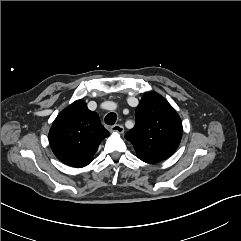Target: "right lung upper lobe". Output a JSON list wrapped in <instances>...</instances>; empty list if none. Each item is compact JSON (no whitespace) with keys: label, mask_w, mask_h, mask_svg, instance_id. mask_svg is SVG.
<instances>
[{"label":"right lung upper lobe","mask_w":241,"mask_h":241,"mask_svg":"<svg viewBox=\"0 0 241 241\" xmlns=\"http://www.w3.org/2000/svg\"><path fill=\"white\" fill-rule=\"evenodd\" d=\"M108 136L98 114L90 111L84 101L77 100L54 120L49 142L60 161L80 168L92 162L99 144Z\"/></svg>","instance_id":"right-lung-upper-lobe-1"}]
</instances>
